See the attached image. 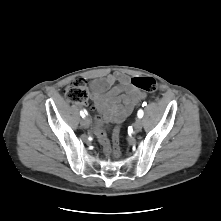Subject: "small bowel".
Segmentation results:
<instances>
[{"label":"small bowel","instance_id":"c3829d8e","mask_svg":"<svg viewBox=\"0 0 221 221\" xmlns=\"http://www.w3.org/2000/svg\"><path fill=\"white\" fill-rule=\"evenodd\" d=\"M93 100L108 110L110 120L121 124L133 109L146 97L134 87L131 78L122 72H114L90 84ZM98 121L99 118H98Z\"/></svg>","mask_w":221,"mask_h":221}]
</instances>
